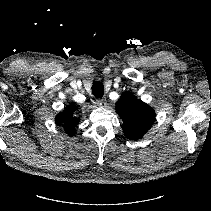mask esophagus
<instances>
[{
    "mask_svg": "<svg viewBox=\"0 0 211 211\" xmlns=\"http://www.w3.org/2000/svg\"><path fill=\"white\" fill-rule=\"evenodd\" d=\"M96 103L99 107H102V108H106L107 105H108L107 101L104 100V99H99V100L96 101Z\"/></svg>",
    "mask_w": 211,
    "mask_h": 211,
    "instance_id": "esophagus-1",
    "label": "esophagus"
}]
</instances>
